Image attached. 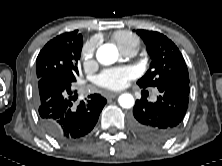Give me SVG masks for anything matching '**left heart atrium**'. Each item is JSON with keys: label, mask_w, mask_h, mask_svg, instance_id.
<instances>
[{"label": "left heart atrium", "mask_w": 222, "mask_h": 166, "mask_svg": "<svg viewBox=\"0 0 222 166\" xmlns=\"http://www.w3.org/2000/svg\"><path fill=\"white\" fill-rule=\"evenodd\" d=\"M135 77V71L131 67L112 68L103 71L96 77V83L109 90L124 88Z\"/></svg>", "instance_id": "1"}]
</instances>
